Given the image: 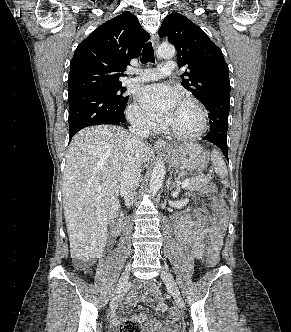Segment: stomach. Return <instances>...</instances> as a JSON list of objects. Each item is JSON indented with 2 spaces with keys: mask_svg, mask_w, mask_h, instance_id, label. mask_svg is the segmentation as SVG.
Returning a JSON list of instances; mask_svg holds the SVG:
<instances>
[{
  "mask_svg": "<svg viewBox=\"0 0 291 332\" xmlns=\"http://www.w3.org/2000/svg\"><path fill=\"white\" fill-rule=\"evenodd\" d=\"M166 151L169 164L180 171L201 172L208 163V154L192 142L173 143Z\"/></svg>",
  "mask_w": 291,
  "mask_h": 332,
  "instance_id": "0dacf381",
  "label": "stomach"
}]
</instances>
